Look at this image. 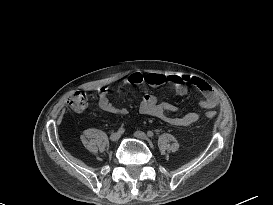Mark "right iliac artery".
Listing matches in <instances>:
<instances>
[{"mask_svg": "<svg viewBox=\"0 0 273 205\" xmlns=\"http://www.w3.org/2000/svg\"><path fill=\"white\" fill-rule=\"evenodd\" d=\"M118 132H119L120 134H123V133L125 132V128L121 126V127L118 129Z\"/></svg>", "mask_w": 273, "mask_h": 205, "instance_id": "1", "label": "right iliac artery"}]
</instances>
